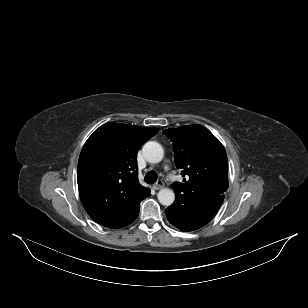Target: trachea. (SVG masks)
<instances>
[{"instance_id":"3493384b","label":"trachea","mask_w":308,"mask_h":308,"mask_svg":"<svg viewBox=\"0 0 308 308\" xmlns=\"http://www.w3.org/2000/svg\"><path fill=\"white\" fill-rule=\"evenodd\" d=\"M145 182L148 184H154L157 181V173L154 171H148L144 178Z\"/></svg>"}]
</instances>
